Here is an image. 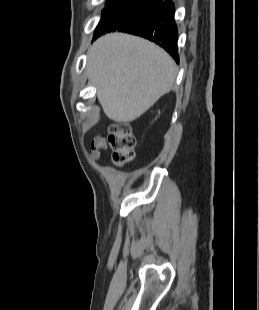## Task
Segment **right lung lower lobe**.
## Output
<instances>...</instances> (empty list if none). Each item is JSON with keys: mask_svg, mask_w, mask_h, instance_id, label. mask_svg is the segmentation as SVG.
I'll return each instance as SVG.
<instances>
[{"mask_svg": "<svg viewBox=\"0 0 259 310\" xmlns=\"http://www.w3.org/2000/svg\"><path fill=\"white\" fill-rule=\"evenodd\" d=\"M174 12L175 7L171 0H161L156 6L115 31L149 39L164 48L178 62V32Z\"/></svg>", "mask_w": 259, "mask_h": 310, "instance_id": "right-lung-lower-lobe-1", "label": "right lung lower lobe"}]
</instances>
